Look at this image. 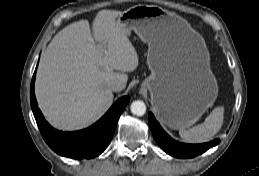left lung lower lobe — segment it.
<instances>
[{"label": "left lung lower lobe", "instance_id": "0a47b994", "mask_svg": "<svg viewBox=\"0 0 259 176\" xmlns=\"http://www.w3.org/2000/svg\"><path fill=\"white\" fill-rule=\"evenodd\" d=\"M150 130L159 146L169 155L177 158H192L217 145L219 139L204 144H184L173 140L155 120L153 114H148Z\"/></svg>", "mask_w": 259, "mask_h": 176}]
</instances>
